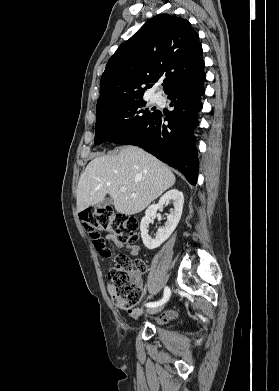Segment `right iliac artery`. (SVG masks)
Segmentation results:
<instances>
[{"instance_id":"1","label":"right iliac artery","mask_w":279,"mask_h":391,"mask_svg":"<svg viewBox=\"0 0 279 391\" xmlns=\"http://www.w3.org/2000/svg\"><path fill=\"white\" fill-rule=\"evenodd\" d=\"M170 294H171L170 288L169 287H165L163 298L160 301H157V302H149V303L146 304V306L147 307H156V306L162 305L169 299Z\"/></svg>"}]
</instances>
